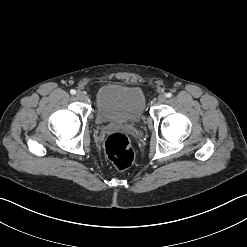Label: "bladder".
<instances>
[{"label":"bladder","mask_w":247,"mask_h":247,"mask_svg":"<svg viewBox=\"0 0 247 247\" xmlns=\"http://www.w3.org/2000/svg\"><path fill=\"white\" fill-rule=\"evenodd\" d=\"M145 96L136 86L109 83L96 94V122L138 123L145 114Z\"/></svg>","instance_id":"obj_1"}]
</instances>
